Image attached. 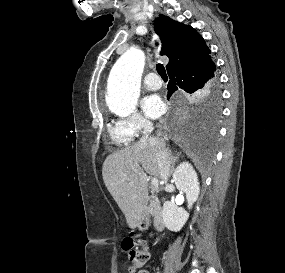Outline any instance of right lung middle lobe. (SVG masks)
Here are the masks:
<instances>
[{
	"mask_svg": "<svg viewBox=\"0 0 285 273\" xmlns=\"http://www.w3.org/2000/svg\"><path fill=\"white\" fill-rule=\"evenodd\" d=\"M217 84V79H215L210 85H208L205 89L196 92L194 95V100H200L201 98L207 97L209 95H213V91L215 89V86ZM217 114L216 111L210 112V117H214Z\"/></svg>",
	"mask_w": 285,
	"mask_h": 273,
	"instance_id": "right-lung-middle-lobe-1",
	"label": "right lung middle lobe"
}]
</instances>
